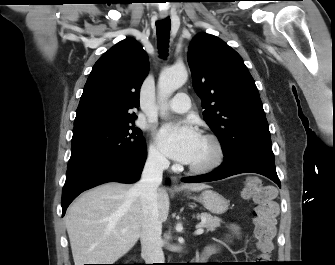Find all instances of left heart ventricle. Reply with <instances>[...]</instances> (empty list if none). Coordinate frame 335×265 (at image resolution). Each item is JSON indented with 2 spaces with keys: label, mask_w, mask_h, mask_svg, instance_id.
I'll use <instances>...</instances> for the list:
<instances>
[{
  "label": "left heart ventricle",
  "mask_w": 335,
  "mask_h": 265,
  "mask_svg": "<svg viewBox=\"0 0 335 265\" xmlns=\"http://www.w3.org/2000/svg\"><path fill=\"white\" fill-rule=\"evenodd\" d=\"M214 156V148L210 142L201 138L197 151L194 155L193 160L189 163L190 165H204L212 160Z\"/></svg>",
  "instance_id": "b2bd125f"
}]
</instances>
